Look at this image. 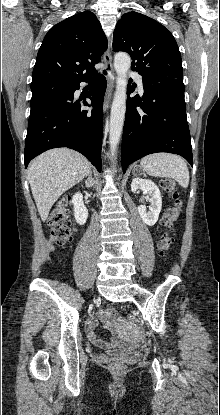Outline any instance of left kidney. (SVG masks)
Instances as JSON below:
<instances>
[{
    "label": "left kidney",
    "instance_id": "left-kidney-1",
    "mask_svg": "<svg viewBox=\"0 0 220 415\" xmlns=\"http://www.w3.org/2000/svg\"><path fill=\"white\" fill-rule=\"evenodd\" d=\"M131 190L133 193L141 190L150 197L149 211L147 212L145 206H139L138 212L145 224L153 226L157 222L162 208V199L159 188L151 180L134 178L131 183Z\"/></svg>",
    "mask_w": 220,
    "mask_h": 415
}]
</instances>
